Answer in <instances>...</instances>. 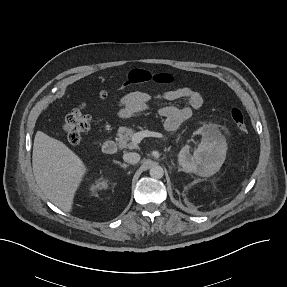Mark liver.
<instances>
[{"mask_svg": "<svg viewBox=\"0 0 287 287\" xmlns=\"http://www.w3.org/2000/svg\"><path fill=\"white\" fill-rule=\"evenodd\" d=\"M40 189L54 205L70 212L76 191L87 172L82 159L63 142L37 131L32 155Z\"/></svg>", "mask_w": 287, "mask_h": 287, "instance_id": "liver-1", "label": "liver"}]
</instances>
